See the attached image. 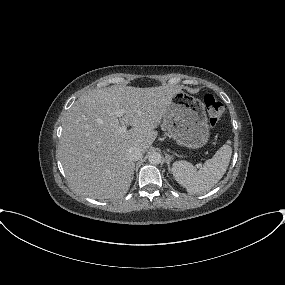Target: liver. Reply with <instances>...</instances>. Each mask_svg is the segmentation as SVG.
<instances>
[{"label": "liver", "instance_id": "obj_1", "mask_svg": "<svg viewBox=\"0 0 285 285\" xmlns=\"http://www.w3.org/2000/svg\"><path fill=\"white\" fill-rule=\"evenodd\" d=\"M180 87L120 86L94 89L78 98L67 111L59 158L71 185L92 199L123 197L130 188L134 162L127 150L145 152L154 142L171 99ZM124 109L122 117L116 110ZM122 125L132 128L119 132Z\"/></svg>", "mask_w": 285, "mask_h": 285}]
</instances>
